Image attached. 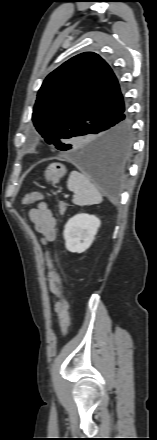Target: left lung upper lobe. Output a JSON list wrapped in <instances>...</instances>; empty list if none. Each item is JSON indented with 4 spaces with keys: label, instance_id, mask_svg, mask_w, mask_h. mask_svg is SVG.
Returning a JSON list of instances; mask_svg holds the SVG:
<instances>
[{
    "label": "left lung upper lobe",
    "instance_id": "1",
    "mask_svg": "<svg viewBox=\"0 0 157 440\" xmlns=\"http://www.w3.org/2000/svg\"><path fill=\"white\" fill-rule=\"evenodd\" d=\"M123 105L110 66L99 55L85 52L46 77L37 95L32 120L48 144L64 150L75 137L94 134Z\"/></svg>",
    "mask_w": 157,
    "mask_h": 440
}]
</instances>
